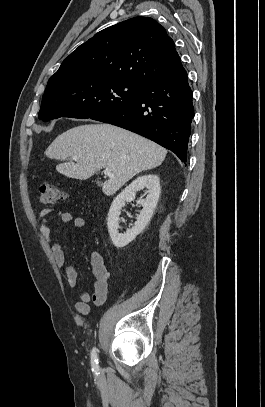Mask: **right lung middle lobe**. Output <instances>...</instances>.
Here are the masks:
<instances>
[{
	"instance_id": "1",
	"label": "right lung middle lobe",
	"mask_w": 265,
	"mask_h": 407,
	"mask_svg": "<svg viewBox=\"0 0 265 407\" xmlns=\"http://www.w3.org/2000/svg\"><path fill=\"white\" fill-rule=\"evenodd\" d=\"M143 87L132 81L101 77L49 82L39 119L46 122L59 117L93 118L133 103Z\"/></svg>"
}]
</instances>
